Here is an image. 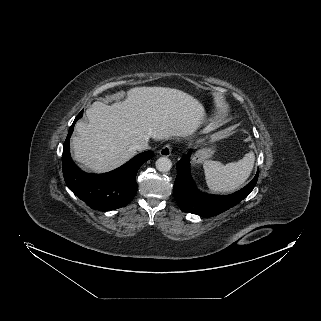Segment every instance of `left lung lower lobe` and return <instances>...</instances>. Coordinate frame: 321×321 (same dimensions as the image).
I'll list each match as a JSON object with an SVG mask.
<instances>
[{"label": "left lung lower lobe", "instance_id": "obj_1", "mask_svg": "<svg viewBox=\"0 0 321 321\" xmlns=\"http://www.w3.org/2000/svg\"><path fill=\"white\" fill-rule=\"evenodd\" d=\"M190 156L191 150L177 163V177L174 183V197L183 212L201 217L216 216L247 197L257 183L259 171L244 188L233 194L218 196L200 193L190 174Z\"/></svg>", "mask_w": 321, "mask_h": 321}]
</instances>
